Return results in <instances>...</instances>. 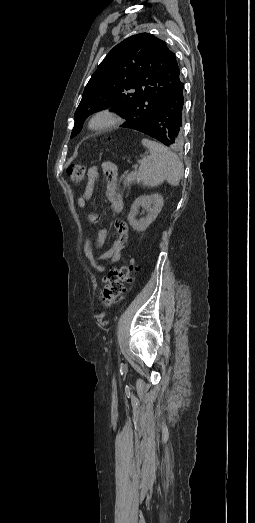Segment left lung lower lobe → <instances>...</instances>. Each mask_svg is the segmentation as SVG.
Wrapping results in <instances>:
<instances>
[{"label": "left lung lower lobe", "instance_id": "1", "mask_svg": "<svg viewBox=\"0 0 255 523\" xmlns=\"http://www.w3.org/2000/svg\"><path fill=\"white\" fill-rule=\"evenodd\" d=\"M168 100L163 102L160 109L155 110L157 115H152L146 124L138 125L134 129L145 131L146 135L156 137L164 148L177 152L181 148V123H183L182 109L187 105V98L183 93V85H177L168 93ZM164 127V128H163Z\"/></svg>", "mask_w": 255, "mask_h": 523}]
</instances>
